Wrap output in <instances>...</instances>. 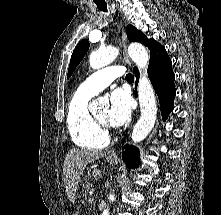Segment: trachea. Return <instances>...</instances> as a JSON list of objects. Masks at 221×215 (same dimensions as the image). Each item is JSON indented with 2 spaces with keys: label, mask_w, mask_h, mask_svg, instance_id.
Listing matches in <instances>:
<instances>
[{
  "label": "trachea",
  "mask_w": 221,
  "mask_h": 215,
  "mask_svg": "<svg viewBox=\"0 0 221 215\" xmlns=\"http://www.w3.org/2000/svg\"><path fill=\"white\" fill-rule=\"evenodd\" d=\"M97 7L103 11V12H107V5L106 4H96ZM126 80L127 81H133L134 80V76L131 73H128L126 75Z\"/></svg>",
  "instance_id": "1"
}]
</instances>
